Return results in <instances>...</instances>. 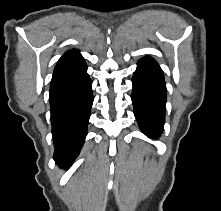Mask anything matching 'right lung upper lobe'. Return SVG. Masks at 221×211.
Masks as SVG:
<instances>
[{
  "mask_svg": "<svg viewBox=\"0 0 221 211\" xmlns=\"http://www.w3.org/2000/svg\"><path fill=\"white\" fill-rule=\"evenodd\" d=\"M84 64H86L85 60L81 56L79 51L77 50L68 51L59 59L54 69L53 76L72 71Z\"/></svg>",
  "mask_w": 221,
  "mask_h": 211,
  "instance_id": "cb5924a9",
  "label": "right lung upper lobe"
}]
</instances>
